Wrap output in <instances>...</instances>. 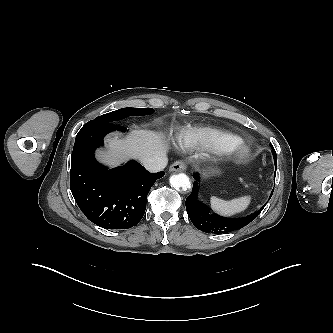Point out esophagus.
<instances>
[{
  "instance_id": "34e87169",
  "label": "esophagus",
  "mask_w": 333,
  "mask_h": 333,
  "mask_svg": "<svg viewBox=\"0 0 333 333\" xmlns=\"http://www.w3.org/2000/svg\"><path fill=\"white\" fill-rule=\"evenodd\" d=\"M186 169L185 163L183 161H176L174 162L170 168V172H182Z\"/></svg>"
}]
</instances>
